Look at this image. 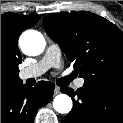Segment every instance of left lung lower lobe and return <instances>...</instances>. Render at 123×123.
I'll list each match as a JSON object with an SVG mask.
<instances>
[{"instance_id":"obj_1","label":"left lung lower lobe","mask_w":123,"mask_h":123,"mask_svg":"<svg viewBox=\"0 0 123 123\" xmlns=\"http://www.w3.org/2000/svg\"><path fill=\"white\" fill-rule=\"evenodd\" d=\"M73 100V109L61 123H122L123 90L85 84L74 92L61 88Z\"/></svg>"}]
</instances>
